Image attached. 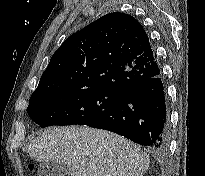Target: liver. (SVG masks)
<instances>
[{
	"instance_id": "6515ba94",
	"label": "liver",
	"mask_w": 205,
	"mask_h": 176,
	"mask_svg": "<svg viewBox=\"0 0 205 176\" xmlns=\"http://www.w3.org/2000/svg\"><path fill=\"white\" fill-rule=\"evenodd\" d=\"M23 151L35 161L67 164L71 176H143L150 163L130 140L89 127L48 128Z\"/></svg>"
}]
</instances>
